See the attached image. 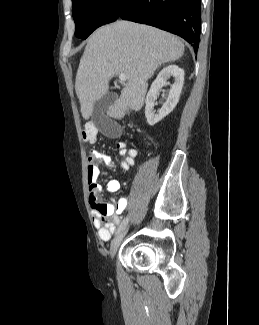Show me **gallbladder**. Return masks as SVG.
Here are the masks:
<instances>
[{
  "mask_svg": "<svg viewBox=\"0 0 259 325\" xmlns=\"http://www.w3.org/2000/svg\"><path fill=\"white\" fill-rule=\"evenodd\" d=\"M117 97L115 92H107L93 105L92 118L102 131V135L109 136L110 139L120 138V126L117 121H111L110 116L104 113L115 103Z\"/></svg>",
  "mask_w": 259,
  "mask_h": 325,
  "instance_id": "1",
  "label": "gallbladder"
}]
</instances>
